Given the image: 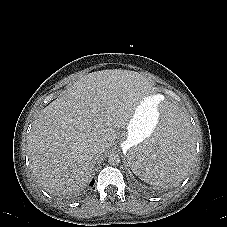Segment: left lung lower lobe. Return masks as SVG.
<instances>
[{
    "label": "left lung lower lobe",
    "instance_id": "0a47b994",
    "mask_svg": "<svg viewBox=\"0 0 227 227\" xmlns=\"http://www.w3.org/2000/svg\"><path fill=\"white\" fill-rule=\"evenodd\" d=\"M178 124V122H177ZM176 124V126H177ZM191 136L183 135L179 133L174 134V141L173 144L170 145V148L168 149L167 153L176 154L179 149L183 148L186 144L189 143ZM169 164H166L165 167H168Z\"/></svg>",
    "mask_w": 227,
    "mask_h": 227
}]
</instances>
